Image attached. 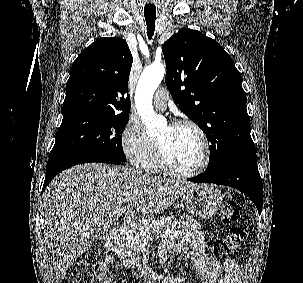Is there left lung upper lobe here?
<instances>
[{"label": "left lung upper lobe", "instance_id": "5c2ea615", "mask_svg": "<svg viewBox=\"0 0 303 283\" xmlns=\"http://www.w3.org/2000/svg\"><path fill=\"white\" fill-rule=\"evenodd\" d=\"M162 51L167 88L211 144L206 170L255 151L241 75L223 47L197 30L183 28Z\"/></svg>", "mask_w": 303, "mask_h": 283}]
</instances>
